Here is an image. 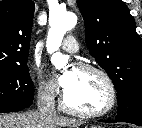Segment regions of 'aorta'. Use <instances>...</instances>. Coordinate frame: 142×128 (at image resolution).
Masks as SVG:
<instances>
[{
	"mask_svg": "<svg viewBox=\"0 0 142 128\" xmlns=\"http://www.w3.org/2000/svg\"><path fill=\"white\" fill-rule=\"evenodd\" d=\"M76 24L77 16L73 12L61 10L51 13L49 16L50 29L48 31L46 48L49 53H53L51 62L57 69L64 67L68 61L67 57L57 52V50L61 46L66 32L73 29Z\"/></svg>",
	"mask_w": 142,
	"mask_h": 128,
	"instance_id": "obj_1",
	"label": "aorta"
}]
</instances>
